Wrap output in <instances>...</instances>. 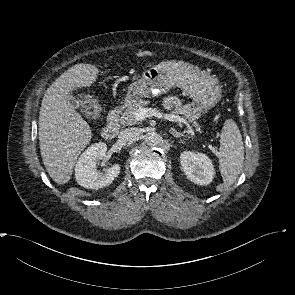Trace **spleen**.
Returning <instances> with one entry per match:
<instances>
[{
  "label": "spleen",
  "instance_id": "1",
  "mask_svg": "<svg viewBox=\"0 0 295 295\" xmlns=\"http://www.w3.org/2000/svg\"><path fill=\"white\" fill-rule=\"evenodd\" d=\"M219 168L224 186H231L241 173L244 146L240 130L234 120L225 121L220 135Z\"/></svg>",
  "mask_w": 295,
  "mask_h": 295
}]
</instances>
